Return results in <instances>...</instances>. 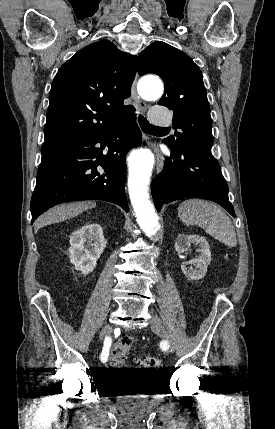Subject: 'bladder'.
Wrapping results in <instances>:
<instances>
[{
  "label": "bladder",
  "instance_id": "31cf9c89",
  "mask_svg": "<svg viewBox=\"0 0 275 429\" xmlns=\"http://www.w3.org/2000/svg\"><path fill=\"white\" fill-rule=\"evenodd\" d=\"M106 386L105 398H116V403H147L158 392L154 377H106Z\"/></svg>",
  "mask_w": 275,
  "mask_h": 429
}]
</instances>
